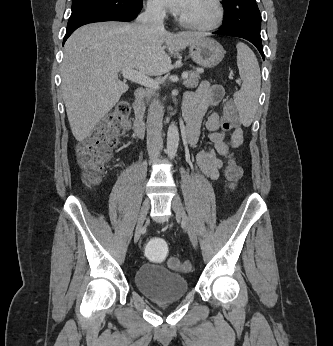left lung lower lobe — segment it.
<instances>
[{"label":"left lung lower lobe","instance_id":"obj_1","mask_svg":"<svg viewBox=\"0 0 333 346\" xmlns=\"http://www.w3.org/2000/svg\"><path fill=\"white\" fill-rule=\"evenodd\" d=\"M214 34L219 35H228V36H235L244 38L248 41H250L252 44L256 46V48L259 50L263 60H264V52H263V46L261 42V38L257 37L243 29L237 28V27H222L221 29L213 32Z\"/></svg>","mask_w":333,"mask_h":346}]
</instances>
